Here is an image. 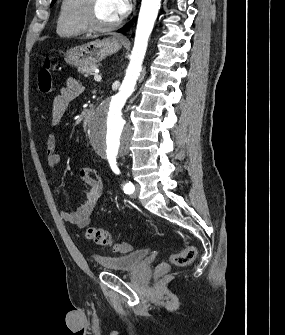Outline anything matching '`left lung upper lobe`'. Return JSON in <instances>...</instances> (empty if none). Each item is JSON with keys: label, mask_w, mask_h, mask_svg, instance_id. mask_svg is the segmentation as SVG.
I'll use <instances>...</instances> for the list:
<instances>
[{"label": "left lung upper lobe", "mask_w": 285, "mask_h": 335, "mask_svg": "<svg viewBox=\"0 0 285 335\" xmlns=\"http://www.w3.org/2000/svg\"><path fill=\"white\" fill-rule=\"evenodd\" d=\"M55 2H56V0H52V4L51 5H53Z\"/></svg>", "instance_id": "5c2ea615"}]
</instances>
